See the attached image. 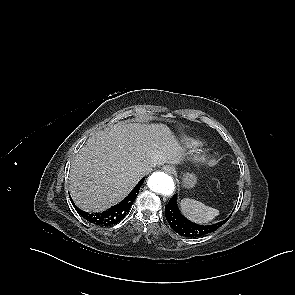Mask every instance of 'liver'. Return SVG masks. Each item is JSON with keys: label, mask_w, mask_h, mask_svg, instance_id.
<instances>
[{"label": "liver", "mask_w": 295, "mask_h": 295, "mask_svg": "<svg viewBox=\"0 0 295 295\" xmlns=\"http://www.w3.org/2000/svg\"><path fill=\"white\" fill-rule=\"evenodd\" d=\"M183 149L163 124L119 122L91 136L75 156L69 189L75 204L102 212L123 200L144 176L142 170L178 164Z\"/></svg>", "instance_id": "liver-1"}]
</instances>
